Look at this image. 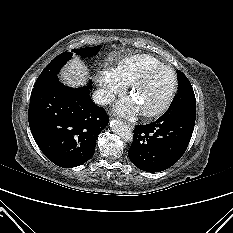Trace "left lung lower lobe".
I'll return each instance as SVG.
<instances>
[{"label":"left lung lower lobe","mask_w":233,"mask_h":233,"mask_svg":"<svg viewBox=\"0 0 233 233\" xmlns=\"http://www.w3.org/2000/svg\"><path fill=\"white\" fill-rule=\"evenodd\" d=\"M195 113H169L147 125H136L128 151L131 162L147 172H160L174 165L191 139Z\"/></svg>","instance_id":"left-lung-lower-lobe-1"}]
</instances>
